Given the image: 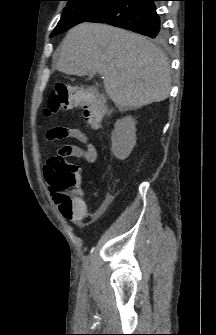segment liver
I'll return each instance as SVG.
<instances>
[{
  "instance_id": "1",
  "label": "liver",
  "mask_w": 216,
  "mask_h": 335,
  "mask_svg": "<svg viewBox=\"0 0 216 335\" xmlns=\"http://www.w3.org/2000/svg\"><path fill=\"white\" fill-rule=\"evenodd\" d=\"M57 69L67 75L102 74L105 91L120 110L163 101L171 89L164 53L146 37L106 24L70 29Z\"/></svg>"
}]
</instances>
